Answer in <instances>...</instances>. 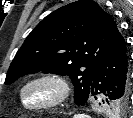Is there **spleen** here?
Segmentation results:
<instances>
[{
  "instance_id": "3e777b00",
  "label": "spleen",
  "mask_w": 133,
  "mask_h": 118,
  "mask_svg": "<svg viewBox=\"0 0 133 118\" xmlns=\"http://www.w3.org/2000/svg\"><path fill=\"white\" fill-rule=\"evenodd\" d=\"M74 118H80V117L75 116Z\"/></svg>"
}]
</instances>
